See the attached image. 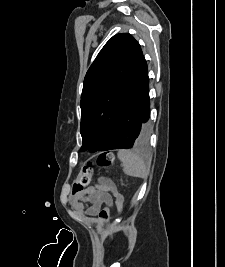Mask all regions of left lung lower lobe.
Wrapping results in <instances>:
<instances>
[{
    "label": "left lung lower lobe",
    "mask_w": 225,
    "mask_h": 267,
    "mask_svg": "<svg viewBox=\"0 0 225 267\" xmlns=\"http://www.w3.org/2000/svg\"><path fill=\"white\" fill-rule=\"evenodd\" d=\"M150 98L147 63L142 55L124 95L115 130L101 151L132 148L140 129L149 122ZM147 136L145 129L144 138Z\"/></svg>",
    "instance_id": "left-lung-lower-lobe-1"
}]
</instances>
